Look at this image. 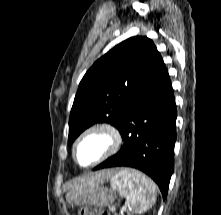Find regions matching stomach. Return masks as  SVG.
Returning <instances> with one entry per match:
<instances>
[{"mask_svg": "<svg viewBox=\"0 0 221 215\" xmlns=\"http://www.w3.org/2000/svg\"><path fill=\"white\" fill-rule=\"evenodd\" d=\"M116 199L115 191L102 184L82 188L71 189L66 194V202L69 206H110Z\"/></svg>", "mask_w": 221, "mask_h": 215, "instance_id": "1", "label": "stomach"}]
</instances>
